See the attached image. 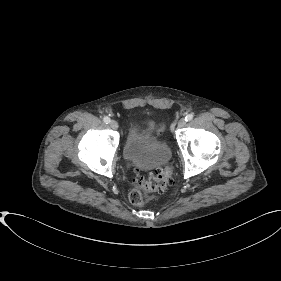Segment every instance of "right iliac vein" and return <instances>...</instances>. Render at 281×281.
Instances as JSON below:
<instances>
[{
  "instance_id": "obj_1",
  "label": "right iliac vein",
  "mask_w": 281,
  "mask_h": 281,
  "mask_svg": "<svg viewBox=\"0 0 281 281\" xmlns=\"http://www.w3.org/2000/svg\"><path fill=\"white\" fill-rule=\"evenodd\" d=\"M110 127L113 129V130H117L118 129V123L115 121V120H112L110 121Z\"/></svg>"
}]
</instances>
